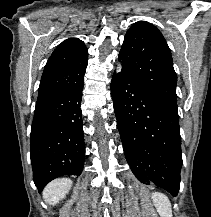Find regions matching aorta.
<instances>
[{"instance_id":"762f6f07","label":"aorta","mask_w":211,"mask_h":217,"mask_svg":"<svg viewBox=\"0 0 211 217\" xmlns=\"http://www.w3.org/2000/svg\"><path fill=\"white\" fill-rule=\"evenodd\" d=\"M122 69V65L121 64H118L117 68H116V72H120Z\"/></svg>"}]
</instances>
